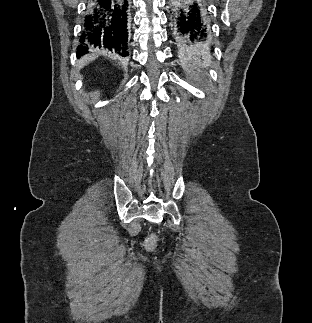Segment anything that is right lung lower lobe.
I'll use <instances>...</instances> for the list:
<instances>
[{"mask_svg":"<svg viewBox=\"0 0 312 323\" xmlns=\"http://www.w3.org/2000/svg\"><path fill=\"white\" fill-rule=\"evenodd\" d=\"M129 10L128 0H90L85 10L77 56L88 53L93 47L127 56L131 24Z\"/></svg>","mask_w":312,"mask_h":323,"instance_id":"98d812e1","label":"right lung lower lobe"}]
</instances>
